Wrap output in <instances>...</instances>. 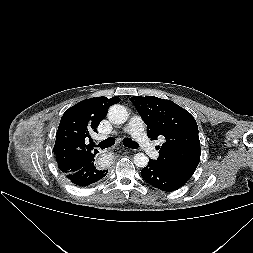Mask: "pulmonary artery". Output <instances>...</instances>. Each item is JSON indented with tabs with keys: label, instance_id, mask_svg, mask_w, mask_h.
Wrapping results in <instances>:
<instances>
[{
	"label": "pulmonary artery",
	"instance_id": "obj_1",
	"mask_svg": "<svg viewBox=\"0 0 253 253\" xmlns=\"http://www.w3.org/2000/svg\"><path fill=\"white\" fill-rule=\"evenodd\" d=\"M124 130L131 134L149 157L152 159L158 157V151L148 139L144 131V123L139 116H132Z\"/></svg>",
	"mask_w": 253,
	"mask_h": 253
}]
</instances>
